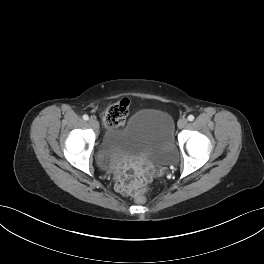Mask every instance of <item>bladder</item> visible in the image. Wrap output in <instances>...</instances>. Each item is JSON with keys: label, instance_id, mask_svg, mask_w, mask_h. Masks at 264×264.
I'll list each match as a JSON object with an SVG mask.
<instances>
[{"label": "bladder", "instance_id": "1", "mask_svg": "<svg viewBox=\"0 0 264 264\" xmlns=\"http://www.w3.org/2000/svg\"><path fill=\"white\" fill-rule=\"evenodd\" d=\"M172 119L158 109L135 112L121 129L108 130L99 152L106 162L142 157L153 163L169 160L174 155Z\"/></svg>", "mask_w": 264, "mask_h": 264}]
</instances>
